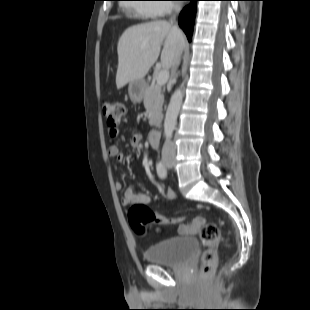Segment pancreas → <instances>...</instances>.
Here are the masks:
<instances>
[{
	"instance_id": "cf45deb5",
	"label": "pancreas",
	"mask_w": 310,
	"mask_h": 310,
	"mask_svg": "<svg viewBox=\"0 0 310 310\" xmlns=\"http://www.w3.org/2000/svg\"><path fill=\"white\" fill-rule=\"evenodd\" d=\"M143 97L150 126H158L162 120V105L164 102V94L161 87L154 84L148 85Z\"/></svg>"
}]
</instances>
